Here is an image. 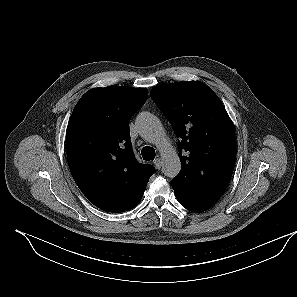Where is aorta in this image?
<instances>
[{"instance_id":"aorta-1","label":"aorta","mask_w":297,"mask_h":297,"mask_svg":"<svg viewBox=\"0 0 297 297\" xmlns=\"http://www.w3.org/2000/svg\"><path fill=\"white\" fill-rule=\"evenodd\" d=\"M136 126L141 137L159 149L163 173L169 178L176 177L181 170V162L177 152L166 140L159 119L151 113L142 112L136 118Z\"/></svg>"}]
</instances>
